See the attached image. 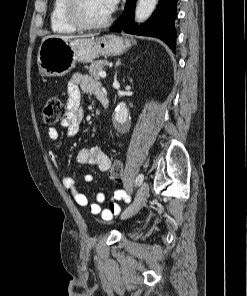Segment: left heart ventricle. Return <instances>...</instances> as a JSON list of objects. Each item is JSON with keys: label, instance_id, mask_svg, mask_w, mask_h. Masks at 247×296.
<instances>
[{"label": "left heart ventricle", "instance_id": "1", "mask_svg": "<svg viewBox=\"0 0 247 296\" xmlns=\"http://www.w3.org/2000/svg\"><path fill=\"white\" fill-rule=\"evenodd\" d=\"M110 15L105 0H83L81 16L88 23H99Z\"/></svg>", "mask_w": 247, "mask_h": 296}]
</instances>
